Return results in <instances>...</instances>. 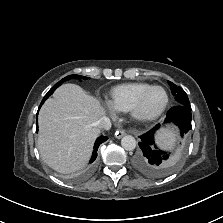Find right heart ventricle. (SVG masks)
Returning a JSON list of instances; mask_svg holds the SVG:
<instances>
[{"mask_svg": "<svg viewBox=\"0 0 223 223\" xmlns=\"http://www.w3.org/2000/svg\"><path fill=\"white\" fill-rule=\"evenodd\" d=\"M152 85L146 82H128L110 90L108 103L116 111L128 112L138 97Z\"/></svg>", "mask_w": 223, "mask_h": 223, "instance_id": "1", "label": "right heart ventricle"}]
</instances>
